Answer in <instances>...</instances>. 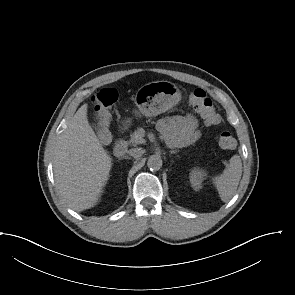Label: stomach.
<instances>
[{
	"label": "stomach",
	"instance_id": "obj_1",
	"mask_svg": "<svg viewBox=\"0 0 295 295\" xmlns=\"http://www.w3.org/2000/svg\"><path fill=\"white\" fill-rule=\"evenodd\" d=\"M181 99L178 87L169 81H156L142 86L136 104L146 117L157 116L174 107Z\"/></svg>",
	"mask_w": 295,
	"mask_h": 295
}]
</instances>
